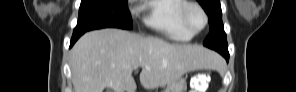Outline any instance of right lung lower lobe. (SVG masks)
Instances as JSON below:
<instances>
[{
  "instance_id": "1",
  "label": "right lung lower lobe",
  "mask_w": 296,
  "mask_h": 92,
  "mask_svg": "<svg viewBox=\"0 0 296 92\" xmlns=\"http://www.w3.org/2000/svg\"><path fill=\"white\" fill-rule=\"evenodd\" d=\"M80 36H81L80 34H75V33H73V36H72V39H71V45H70V46H72V45L75 43V41H76Z\"/></svg>"
}]
</instances>
